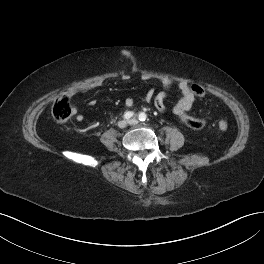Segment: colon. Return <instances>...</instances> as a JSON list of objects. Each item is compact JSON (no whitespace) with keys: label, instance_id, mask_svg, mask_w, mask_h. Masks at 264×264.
Instances as JSON below:
<instances>
[{"label":"colon","instance_id":"colon-1","mask_svg":"<svg viewBox=\"0 0 264 264\" xmlns=\"http://www.w3.org/2000/svg\"><path fill=\"white\" fill-rule=\"evenodd\" d=\"M191 92L198 97H204L206 91L203 86L199 84H192ZM53 118L58 122H66L72 116V107L70 105L69 99L62 95L54 103L52 108ZM186 125L195 130L203 129L206 125V122L202 119L189 116L185 112H180L177 115ZM218 127L220 130L225 131L228 129V123L224 120L218 122Z\"/></svg>","mask_w":264,"mask_h":264}]
</instances>
